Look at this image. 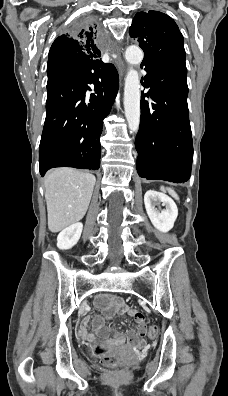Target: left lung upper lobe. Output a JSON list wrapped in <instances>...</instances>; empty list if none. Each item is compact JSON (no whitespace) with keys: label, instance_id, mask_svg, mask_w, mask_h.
Masks as SVG:
<instances>
[{"label":"left lung upper lobe","instance_id":"5c2ea615","mask_svg":"<svg viewBox=\"0 0 228 396\" xmlns=\"http://www.w3.org/2000/svg\"><path fill=\"white\" fill-rule=\"evenodd\" d=\"M129 34L144 51L141 67L163 66L187 76L184 39L175 21L158 11H141L134 17Z\"/></svg>","mask_w":228,"mask_h":396}]
</instances>
